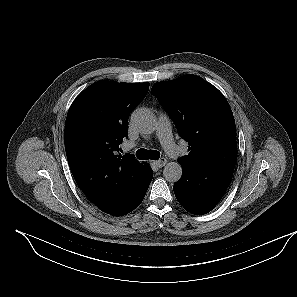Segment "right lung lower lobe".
<instances>
[{
    "instance_id": "1",
    "label": "right lung lower lobe",
    "mask_w": 297,
    "mask_h": 297,
    "mask_svg": "<svg viewBox=\"0 0 297 297\" xmlns=\"http://www.w3.org/2000/svg\"><path fill=\"white\" fill-rule=\"evenodd\" d=\"M148 168L149 170L147 176L140 182L136 189L132 191V193L128 196V198L123 202V204L119 208L109 213L110 215L123 216L133 211L140 205L153 177L152 169L149 166Z\"/></svg>"
}]
</instances>
